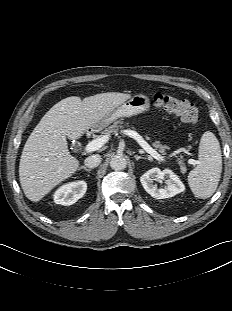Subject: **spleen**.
Instances as JSON below:
<instances>
[{"mask_svg": "<svg viewBox=\"0 0 232 311\" xmlns=\"http://www.w3.org/2000/svg\"><path fill=\"white\" fill-rule=\"evenodd\" d=\"M198 157V165L188 175V184L195 197L206 199L216 191L222 172L220 144L212 132L202 135Z\"/></svg>", "mask_w": 232, "mask_h": 311, "instance_id": "3e777b00", "label": "spleen"}]
</instances>
